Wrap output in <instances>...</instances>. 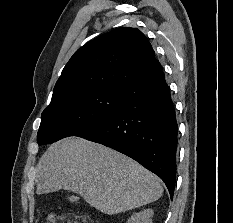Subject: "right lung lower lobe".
<instances>
[{
  "label": "right lung lower lobe",
  "instance_id": "1",
  "mask_svg": "<svg viewBox=\"0 0 233 223\" xmlns=\"http://www.w3.org/2000/svg\"><path fill=\"white\" fill-rule=\"evenodd\" d=\"M121 108L80 137L111 147L158 175L173 197L177 122L161 71L121 89Z\"/></svg>",
  "mask_w": 233,
  "mask_h": 223
}]
</instances>
